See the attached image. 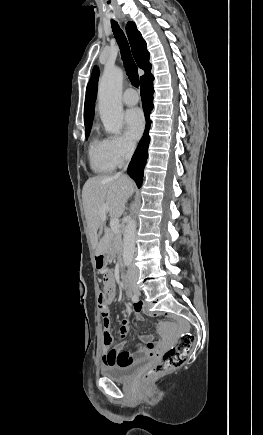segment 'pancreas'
<instances>
[{"mask_svg":"<svg viewBox=\"0 0 263 435\" xmlns=\"http://www.w3.org/2000/svg\"><path fill=\"white\" fill-rule=\"evenodd\" d=\"M108 254L111 258H116L120 260L121 256V234L119 232L115 233L113 236V240L108 251Z\"/></svg>","mask_w":263,"mask_h":435,"instance_id":"pancreas-1","label":"pancreas"}]
</instances>
